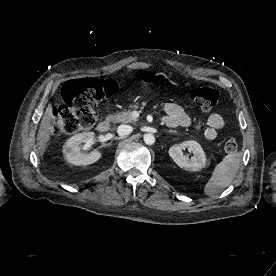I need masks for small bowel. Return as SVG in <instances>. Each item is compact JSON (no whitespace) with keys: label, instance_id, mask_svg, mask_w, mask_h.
I'll return each instance as SVG.
<instances>
[{"label":"small bowel","instance_id":"c3829d8e","mask_svg":"<svg viewBox=\"0 0 276 276\" xmlns=\"http://www.w3.org/2000/svg\"><path fill=\"white\" fill-rule=\"evenodd\" d=\"M165 117L163 118L164 123L170 127H188L195 125L200 128L201 124H194L191 117L184 111V109L175 103H166L163 106ZM225 121L223 117L218 113L210 114L206 121V127L204 129V137L213 141L217 138L218 132L224 127Z\"/></svg>","mask_w":276,"mask_h":276}]
</instances>
